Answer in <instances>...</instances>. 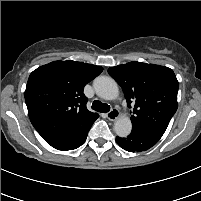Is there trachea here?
I'll use <instances>...</instances> for the list:
<instances>
[{"mask_svg": "<svg viewBox=\"0 0 201 201\" xmlns=\"http://www.w3.org/2000/svg\"><path fill=\"white\" fill-rule=\"evenodd\" d=\"M92 109L101 113H107L110 111V106L108 104L95 100L92 103Z\"/></svg>", "mask_w": 201, "mask_h": 201, "instance_id": "1", "label": "trachea"}]
</instances>
